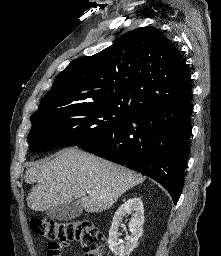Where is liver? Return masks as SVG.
I'll list each match as a JSON object with an SVG mask.
<instances>
[{
    "mask_svg": "<svg viewBox=\"0 0 221 256\" xmlns=\"http://www.w3.org/2000/svg\"><path fill=\"white\" fill-rule=\"evenodd\" d=\"M24 179L27 184H36L27 198L28 207L34 211L79 199L86 212L99 213L145 177L72 147L58 152L53 159L34 164Z\"/></svg>",
    "mask_w": 221,
    "mask_h": 256,
    "instance_id": "6515ba94",
    "label": "liver"
}]
</instances>
